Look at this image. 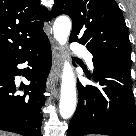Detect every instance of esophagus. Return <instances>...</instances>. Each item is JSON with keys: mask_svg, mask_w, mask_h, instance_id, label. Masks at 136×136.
<instances>
[{"mask_svg": "<svg viewBox=\"0 0 136 136\" xmlns=\"http://www.w3.org/2000/svg\"><path fill=\"white\" fill-rule=\"evenodd\" d=\"M52 54H53V65L49 75V80L47 82L48 89L52 86V83L57 82L61 76L62 54H61V48L57 43H53L52 45Z\"/></svg>", "mask_w": 136, "mask_h": 136, "instance_id": "obj_1", "label": "esophagus"}]
</instances>
